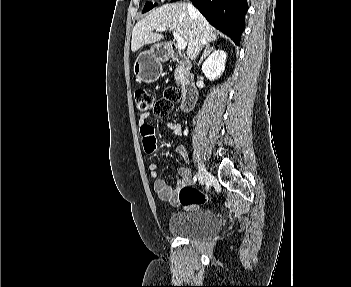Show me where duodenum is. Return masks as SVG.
<instances>
[{"label":"duodenum","instance_id":"1","mask_svg":"<svg viewBox=\"0 0 351 287\" xmlns=\"http://www.w3.org/2000/svg\"><path fill=\"white\" fill-rule=\"evenodd\" d=\"M157 55L162 59L176 60L178 61L185 75L182 79V87L184 91V99L181 104V110L189 111L196 104L198 98V91L195 85L194 79L190 74L191 62L190 58L182 51L179 50L175 43H168L166 45L160 46L157 50Z\"/></svg>","mask_w":351,"mask_h":287}]
</instances>
